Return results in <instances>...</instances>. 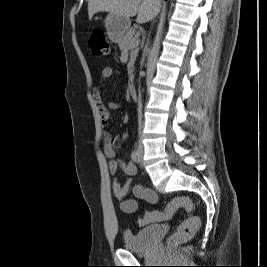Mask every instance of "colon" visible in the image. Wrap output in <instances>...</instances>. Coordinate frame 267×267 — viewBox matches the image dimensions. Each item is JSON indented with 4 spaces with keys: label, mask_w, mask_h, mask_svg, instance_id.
<instances>
[{
    "label": "colon",
    "mask_w": 267,
    "mask_h": 267,
    "mask_svg": "<svg viewBox=\"0 0 267 267\" xmlns=\"http://www.w3.org/2000/svg\"><path fill=\"white\" fill-rule=\"evenodd\" d=\"M89 47L93 54L98 56H106L110 52V46L104 34L101 31H95L89 38ZM184 209L191 212L194 209L193 201L186 196H179L173 198L163 210L147 211L139 219L140 225H147L154 222L163 221L171 218L178 209ZM200 225V219L197 216H189L186 218L175 230V232L168 238L167 243L170 246L190 240Z\"/></svg>",
    "instance_id": "5ec220e1"
}]
</instances>
